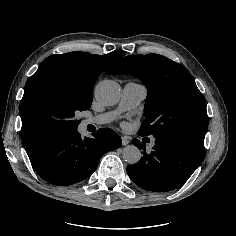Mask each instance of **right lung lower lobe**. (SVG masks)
<instances>
[{
	"label": "right lung lower lobe",
	"mask_w": 236,
	"mask_h": 236,
	"mask_svg": "<svg viewBox=\"0 0 236 236\" xmlns=\"http://www.w3.org/2000/svg\"><path fill=\"white\" fill-rule=\"evenodd\" d=\"M94 138H81L75 130L54 137L30 157L37 173L47 182L67 186L88 178L100 158L122 145L121 138L110 128H100Z\"/></svg>",
	"instance_id": "1"
}]
</instances>
